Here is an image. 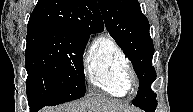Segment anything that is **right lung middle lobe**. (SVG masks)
<instances>
[{"label": "right lung middle lobe", "instance_id": "obj_1", "mask_svg": "<svg viewBox=\"0 0 193 112\" xmlns=\"http://www.w3.org/2000/svg\"><path fill=\"white\" fill-rule=\"evenodd\" d=\"M89 34L27 32L25 66L29 106H54L85 95L83 53Z\"/></svg>", "mask_w": 193, "mask_h": 112}]
</instances>
